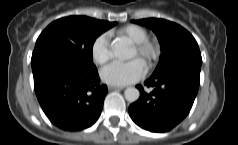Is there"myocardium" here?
Masks as SVG:
<instances>
[{"mask_svg": "<svg viewBox=\"0 0 238 145\" xmlns=\"http://www.w3.org/2000/svg\"><path fill=\"white\" fill-rule=\"evenodd\" d=\"M132 48L135 50L137 57L141 59L147 67H150L160 54V46L154 39L146 38L134 44Z\"/></svg>", "mask_w": 238, "mask_h": 145, "instance_id": "f54148a6", "label": "myocardium"}]
</instances>
